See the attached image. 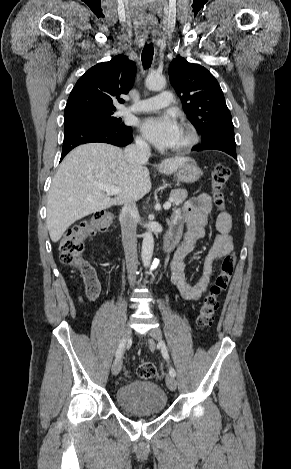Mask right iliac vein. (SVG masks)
<instances>
[{
  "label": "right iliac vein",
  "instance_id": "right-iliac-vein-1",
  "mask_svg": "<svg viewBox=\"0 0 291 469\" xmlns=\"http://www.w3.org/2000/svg\"><path fill=\"white\" fill-rule=\"evenodd\" d=\"M130 335H131V328L127 324L125 326V328L123 330V334H122V340L124 341V343H126L129 340ZM121 368H122V359H121V356H120L119 358H117L115 360V362L112 365V373L114 375H118L121 371Z\"/></svg>",
  "mask_w": 291,
  "mask_h": 469
}]
</instances>
